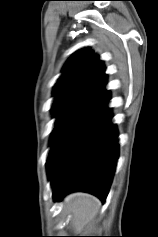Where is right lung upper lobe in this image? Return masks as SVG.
<instances>
[{
	"label": "right lung upper lobe",
	"mask_w": 158,
	"mask_h": 237,
	"mask_svg": "<svg viewBox=\"0 0 158 237\" xmlns=\"http://www.w3.org/2000/svg\"><path fill=\"white\" fill-rule=\"evenodd\" d=\"M105 68L90 49L76 52L67 62L54 87L55 102L85 105L104 93Z\"/></svg>",
	"instance_id": "obj_1"
}]
</instances>
